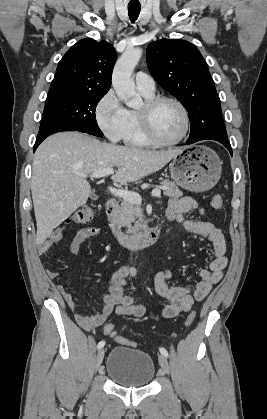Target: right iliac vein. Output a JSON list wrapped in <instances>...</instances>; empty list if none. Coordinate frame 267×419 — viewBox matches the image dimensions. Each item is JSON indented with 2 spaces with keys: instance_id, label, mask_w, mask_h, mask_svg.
Listing matches in <instances>:
<instances>
[{
  "instance_id": "obj_1",
  "label": "right iliac vein",
  "mask_w": 267,
  "mask_h": 419,
  "mask_svg": "<svg viewBox=\"0 0 267 419\" xmlns=\"http://www.w3.org/2000/svg\"><path fill=\"white\" fill-rule=\"evenodd\" d=\"M104 357V349H100L97 353L96 360H95V367L96 370L100 367Z\"/></svg>"
}]
</instances>
